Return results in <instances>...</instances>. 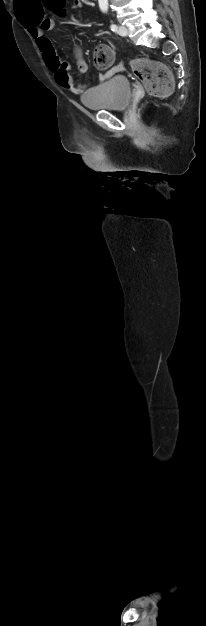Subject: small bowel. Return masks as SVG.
I'll return each mask as SVG.
<instances>
[{
	"label": "small bowel",
	"instance_id": "1",
	"mask_svg": "<svg viewBox=\"0 0 206 626\" xmlns=\"http://www.w3.org/2000/svg\"><path fill=\"white\" fill-rule=\"evenodd\" d=\"M82 4L81 0H75L74 6L80 7ZM33 20V19H32ZM30 34L32 38L35 40L44 61L49 67L50 71L54 74V78L56 82L63 87L64 89L74 93V94H83L87 89V85L77 84L73 77L70 75V65L69 63L60 60L55 52L52 41L45 35L46 31H50L54 27V22L50 18H40L36 24L28 25ZM75 57H76V65L78 70L81 73H85L88 70V65L85 59L83 58L82 50L80 47L75 48ZM122 68L121 64L114 66L111 70L106 72L105 74H99L98 81L102 82L106 79L110 78L113 74L120 71Z\"/></svg>",
	"mask_w": 206,
	"mask_h": 626
}]
</instances>
